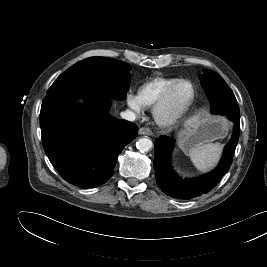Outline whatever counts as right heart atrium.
<instances>
[{"label":"right heart atrium","instance_id":"d8ad5b80","mask_svg":"<svg viewBox=\"0 0 267 267\" xmlns=\"http://www.w3.org/2000/svg\"><path fill=\"white\" fill-rule=\"evenodd\" d=\"M126 102L136 114H141L144 111L145 105L142 103L138 95L128 93L126 96Z\"/></svg>","mask_w":267,"mask_h":267}]
</instances>
